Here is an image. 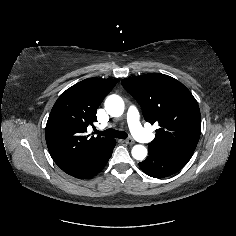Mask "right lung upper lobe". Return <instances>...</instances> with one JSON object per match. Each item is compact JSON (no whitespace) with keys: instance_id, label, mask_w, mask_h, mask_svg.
Wrapping results in <instances>:
<instances>
[{"instance_id":"right-lung-upper-lobe-1","label":"right lung upper lobe","mask_w":236,"mask_h":236,"mask_svg":"<svg viewBox=\"0 0 236 236\" xmlns=\"http://www.w3.org/2000/svg\"><path fill=\"white\" fill-rule=\"evenodd\" d=\"M117 80L89 78L63 92L49 115L45 137L54 162L73 176L111 141L86 135L87 126L96 121V110Z\"/></svg>"}]
</instances>
